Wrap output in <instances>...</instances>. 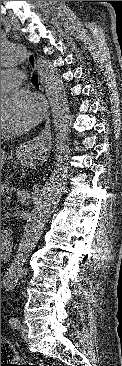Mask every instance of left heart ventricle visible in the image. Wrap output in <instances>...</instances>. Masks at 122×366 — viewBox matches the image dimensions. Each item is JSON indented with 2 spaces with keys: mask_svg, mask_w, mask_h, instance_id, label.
Listing matches in <instances>:
<instances>
[{
  "mask_svg": "<svg viewBox=\"0 0 122 366\" xmlns=\"http://www.w3.org/2000/svg\"><path fill=\"white\" fill-rule=\"evenodd\" d=\"M5 115H6V108L1 110V128H5Z\"/></svg>",
  "mask_w": 122,
  "mask_h": 366,
  "instance_id": "b2bd125f",
  "label": "left heart ventricle"
}]
</instances>
